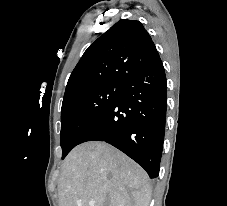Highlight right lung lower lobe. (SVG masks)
Segmentation results:
<instances>
[{
  "label": "right lung lower lobe",
  "instance_id": "98d812e1",
  "mask_svg": "<svg viewBox=\"0 0 227 206\" xmlns=\"http://www.w3.org/2000/svg\"><path fill=\"white\" fill-rule=\"evenodd\" d=\"M166 76L161 59L123 82L120 96L80 143L105 141L136 161L150 178L159 174L166 118Z\"/></svg>",
  "mask_w": 227,
  "mask_h": 206
}]
</instances>
